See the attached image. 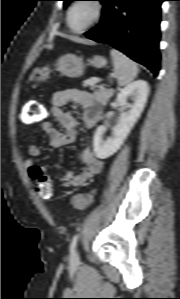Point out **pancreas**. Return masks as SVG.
I'll use <instances>...</instances> for the list:
<instances>
[{"label":"pancreas","mask_w":180,"mask_h":299,"mask_svg":"<svg viewBox=\"0 0 180 299\" xmlns=\"http://www.w3.org/2000/svg\"><path fill=\"white\" fill-rule=\"evenodd\" d=\"M113 91L112 90H108L105 88H100L97 92H96V99L102 103H105L109 100V98L112 96Z\"/></svg>","instance_id":"pancreas-1"}]
</instances>
